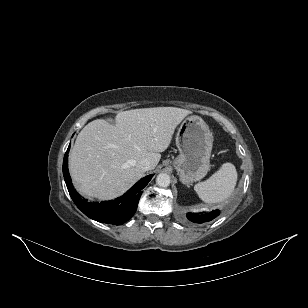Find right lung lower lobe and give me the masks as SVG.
<instances>
[{
  "instance_id": "98d812e1",
  "label": "right lung lower lobe",
  "mask_w": 308,
  "mask_h": 308,
  "mask_svg": "<svg viewBox=\"0 0 308 308\" xmlns=\"http://www.w3.org/2000/svg\"><path fill=\"white\" fill-rule=\"evenodd\" d=\"M68 147L63 160V175L69 194L76 206L89 218L101 223L120 225L128 221L135 213L142 194V189L149 183L152 175L146 176L137 182L127 193L113 201L88 203L81 199L71 183L68 171Z\"/></svg>"
}]
</instances>
